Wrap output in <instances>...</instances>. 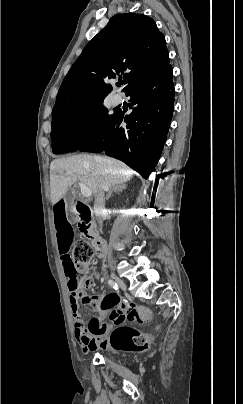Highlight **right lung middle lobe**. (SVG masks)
<instances>
[{"mask_svg":"<svg viewBox=\"0 0 243 404\" xmlns=\"http://www.w3.org/2000/svg\"><path fill=\"white\" fill-rule=\"evenodd\" d=\"M105 97L52 116V150L54 154L76 151L95 138L116 117L103 106Z\"/></svg>","mask_w":243,"mask_h":404,"instance_id":"right-lung-middle-lobe-1","label":"right lung middle lobe"}]
</instances>
